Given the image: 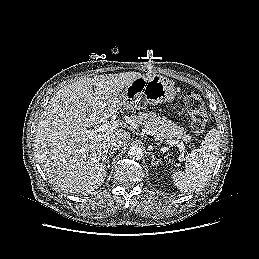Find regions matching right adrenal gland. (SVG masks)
I'll list each match as a JSON object with an SVG mask.
<instances>
[{"mask_svg":"<svg viewBox=\"0 0 259 259\" xmlns=\"http://www.w3.org/2000/svg\"><path fill=\"white\" fill-rule=\"evenodd\" d=\"M113 153H114V152H109V156H108V159H107V164H108V166H109V163H110L109 158L112 156Z\"/></svg>","mask_w":259,"mask_h":259,"instance_id":"right-adrenal-gland-1","label":"right adrenal gland"}]
</instances>
